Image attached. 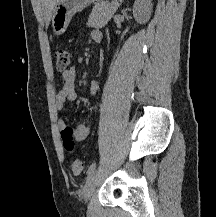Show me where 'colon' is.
I'll return each instance as SVG.
<instances>
[{
  "instance_id": "5ec220e1",
  "label": "colon",
  "mask_w": 216,
  "mask_h": 217,
  "mask_svg": "<svg viewBox=\"0 0 216 217\" xmlns=\"http://www.w3.org/2000/svg\"><path fill=\"white\" fill-rule=\"evenodd\" d=\"M54 61L58 70H66L71 64V53L66 48L58 47L53 53ZM64 145L67 149L73 147L72 131L66 127L63 134ZM71 170L75 175H80L83 172V164L80 160L75 159L71 162Z\"/></svg>"
}]
</instances>
